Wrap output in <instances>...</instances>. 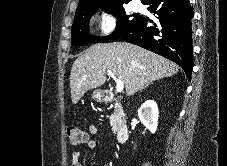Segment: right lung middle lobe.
<instances>
[{
    "label": "right lung middle lobe",
    "mask_w": 227,
    "mask_h": 166,
    "mask_svg": "<svg viewBox=\"0 0 227 166\" xmlns=\"http://www.w3.org/2000/svg\"><path fill=\"white\" fill-rule=\"evenodd\" d=\"M96 9L76 12L74 22L72 25L71 44L73 46H82L88 43H105L118 39V37L128 28L133 26L141 16L130 19L131 16L126 15L123 6L106 8L108 13H111L117 18V25L115 31L107 37H95L89 35L88 24L92 14Z\"/></svg>",
    "instance_id": "1"
}]
</instances>
